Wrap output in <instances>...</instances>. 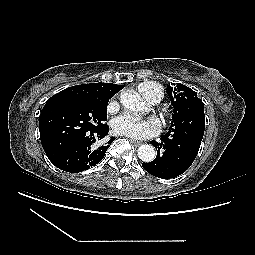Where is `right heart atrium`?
Wrapping results in <instances>:
<instances>
[{
    "mask_svg": "<svg viewBox=\"0 0 255 255\" xmlns=\"http://www.w3.org/2000/svg\"><path fill=\"white\" fill-rule=\"evenodd\" d=\"M115 107H116V103L113 102V101H111V102L109 103V105H108V108H109L110 110H113Z\"/></svg>",
    "mask_w": 255,
    "mask_h": 255,
    "instance_id": "1",
    "label": "right heart atrium"
}]
</instances>
